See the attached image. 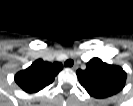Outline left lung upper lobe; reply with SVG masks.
I'll return each mask as SVG.
<instances>
[{
    "mask_svg": "<svg viewBox=\"0 0 133 106\" xmlns=\"http://www.w3.org/2000/svg\"><path fill=\"white\" fill-rule=\"evenodd\" d=\"M80 84L95 98H106L121 91L125 86L127 74L119 66L104 63L93 58L85 70H77Z\"/></svg>",
    "mask_w": 133,
    "mask_h": 106,
    "instance_id": "5c2ea615",
    "label": "left lung upper lobe"
}]
</instances>
